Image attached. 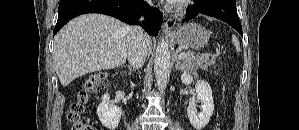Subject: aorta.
<instances>
[{
    "instance_id": "762f6f07",
    "label": "aorta",
    "mask_w": 299,
    "mask_h": 130,
    "mask_svg": "<svg viewBox=\"0 0 299 130\" xmlns=\"http://www.w3.org/2000/svg\"><path fill=\"white\" fill-rule=\"evenodd\" d=\"M170 59L171 57L168 41L162 38L158 42L154 60V72L157 86L160 91H163L167 84L170 69Z\"/></svg>"
}]
</instances>
